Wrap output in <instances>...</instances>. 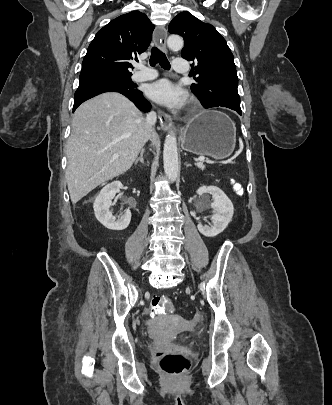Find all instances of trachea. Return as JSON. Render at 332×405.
<instances>
[{
	"label": "trachea",
	"instance_id": "obj_1",
	"mask_svg": "<svg viewBox=\"0 0 332 405\" xmlns=\"http://www.w3.org/2000/svg\"><path fill=\"white\" fill-rule=\"evenodd\" d=\"M157 63L164 69H170V63L165 54L157 47H153L150 56V65L155 66Z\"/></svg>",
	"mask_w": 332,
	"mask_h": 405
}]
</instances>
